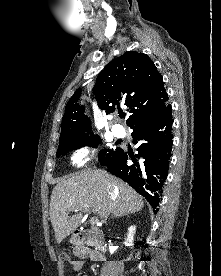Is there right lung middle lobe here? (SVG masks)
I'll return each instance as SVG.
<instances>
[{
    "mask_svg": "<svg viewBox=\"0 0 221 276\" xmlns=\"http://www.w3.org/2000/svg\"><path fill=\"white\" fill-rule=\"evenodd\" d=\"M93 133L82 137L74 138V139H69L66 141L59 142L58 146V151H57V157L60 155L69 152L70 150H76L81 147L85 146H94L96 147L98 144L101 143V138L98 135H95L94 137ZM121 148H116V149H103L99 152L98 158L103 165L104 163L108 162L112 157H114Z\"/></svg>",
    "mask_w": 221,
    "mask_h": 276,
    "instance_id": "dd1d6c3e",
    "label": "right lung middle lobe"
}]
</instances>
